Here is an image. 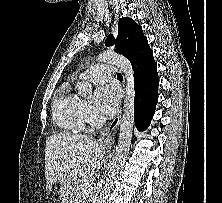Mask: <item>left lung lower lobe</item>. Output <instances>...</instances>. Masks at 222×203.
Instances as JSON below:
<instances>
[{
  "instance_id": "1",
  "label": "left lung lower lobe",
  "mask_w": 222,
  "mask_h": 203,
  "mask_svg": "<svg viewBox=\"0 0 222 203\" xmlns=\"http://www.w3.org/2000/svg\"><path fill=\"white\" fill-rule=\"evenodd\" d=\"M134 71V119L139 131L145 130L154 115L158 101L159 78L153 52L146 40L131 62Z\"/></svg>"
}]
</instances>
